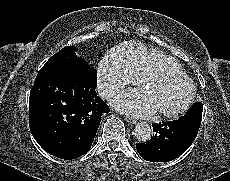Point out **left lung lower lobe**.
<instances>
[{
  "label": "left lung lower lobe",
  "instance_id": "left-lung-lower-lobe-1",
  "mask_svg": "<svg viewBox=\"0 0 230 181\" xmlns=\"http://www.w3.org/2000/svg\"><path fill=\"white\" fill-rule=\"evenodd\" d=\"M203 105L196 102L178 120L152 124L155 134L147 143H137L140 156L146 161H172L184 153L198 133Z\"/></svg>",
  "mask_w": 230,
  "mask_h": 181
}]
</instances>
